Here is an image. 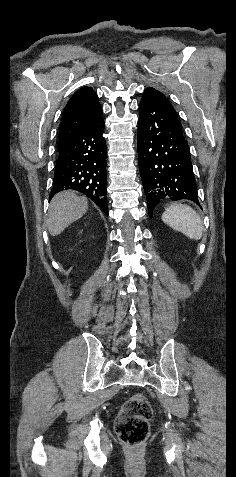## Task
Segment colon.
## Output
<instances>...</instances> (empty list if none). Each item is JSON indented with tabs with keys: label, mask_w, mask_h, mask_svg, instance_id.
<instances>
[{
	"label": "colon",
	"mask_w": 236,
	"mask_h": 477,
	"mask_svg": "<svg viewBox=\"0 0 236 477\" xmlns=\"http://www.w3.org/2000/svg\"><path fill=\"white\" fill-rule=\"evenodd\" d=\"M153 414L149 400L140 393L131 395L122 405L115 423L119 440L127 446H138L146 441Z\"/></svg>",
	"instance_id": "5ec220e1"
}]
</instances>
